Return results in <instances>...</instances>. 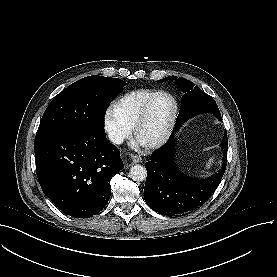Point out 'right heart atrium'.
I'll list each match as a JSON object with an SVG mask.
<instances>
[{"instance_id": "1", "label": "right heart atrium", "mask_w": 277, "mask_h": 277, "mask_svg": "<svg viewBox=\"0 0 277 277\" xmlns=\"http://www.w3.org/2000/svg\"><path fill=\"white\" fill-rule=\"evenodd\" d=\"M103 125L114 142H121L131 133V125L118 114L116 108L113 106L105 110Z\"/></svg>"}]
</instances>
